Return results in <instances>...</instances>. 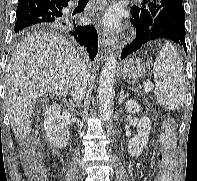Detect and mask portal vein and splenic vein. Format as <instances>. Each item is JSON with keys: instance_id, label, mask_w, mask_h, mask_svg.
<instances>
[{"instance_id": "portal-vein-and-splenic-vein-1", "label": "portal vein and splenic vein", "mask_w": 197, "mask_h": 181, "mask_svg": "<svg viewBox=\"0 0 197 181\" xmlns=\"http://www.w3.org/2000/svg\"><path fill=\"white\" fill-rule=\"evenodd\" d=\"M144 89H145L146 92H150L151 89H152V86L150 84H147V85H145Z\"/></svg>"}]
</instances>
